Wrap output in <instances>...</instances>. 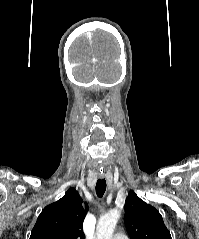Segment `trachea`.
<instances>
[{"label": "trachea", "instance_id": "obj_1", "mask_svg": "<svg viewBox=\"0 0 199 239\" xmlns=\"http://www.w3.org/2000/svg\"><path fill=\"white\" fill-rule=\"evenodd\" d=\"M106 191V181L105 179H98L96 183V194L98 197H103Z\"/></svg>", "mask_w": 199, "mask_h": 239}]
</instances>
